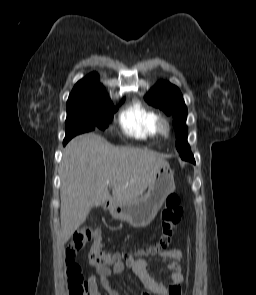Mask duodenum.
<instances>
[{
    "label": "duodenum",
    "mask_w": 256,
    "mask_h": 295,
    "mask_svg": "<svg viewBox=\"0 0 256 295\" xmlns=\"http://www.w3.org/2000/svg\"><path fill=\"white\" fill-rule=\"evenodd\" d=\"M111 205H112V203H111V202H109V203H108V206H111Z\"/></svg>",
    "instance_id": "duodenum-1"
}]
</instances>
